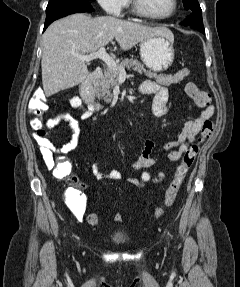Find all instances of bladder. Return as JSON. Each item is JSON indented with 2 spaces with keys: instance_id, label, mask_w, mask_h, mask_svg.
<instances>
[{
  "instance_id": "31cf9c89",
  "label": "bladder",
  "mask_w": 240,
  "mask_h": 287,
  "mask_svg": "<svg viewBox=\"0 0 240 287\" xmlns=\"http://www.w3.org/2000/svg\"><path fill=\"white\" fill-rule=\"evenodd\" d=\"M111 239H112V241L119 243V244H124L128 240L127 235L123 231H120V230L115 231L111 235Z\"/></svg>"
}]
</instances>
